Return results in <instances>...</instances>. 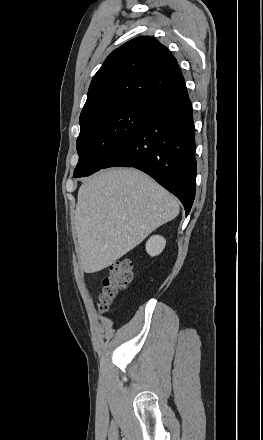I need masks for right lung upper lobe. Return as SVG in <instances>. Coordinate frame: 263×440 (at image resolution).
<instances>
[{
    "instance_id": "1",
    "label": "right lung upper lobe",
    "mask_w": 263,
    "mask_h": 440,
    "mask_svg": "<svg viewBox=\"0 0 263 440\" xmlns=\"http://www.w3.org/2000/svg\"><path fill=\"white\" fill-rule=\"evenodd\" d=\"M185 84L177 60L149 36L135 38L114 50L94 75L80 122L127 103L152 104Z\"/></svg>"
}]
</instances>
